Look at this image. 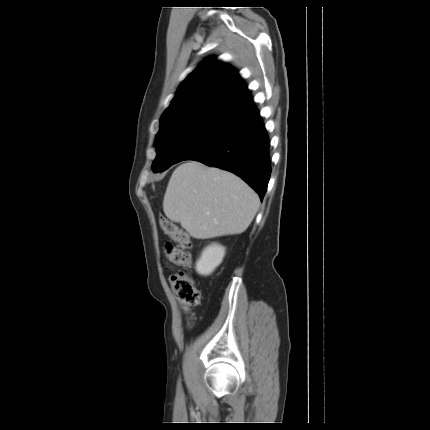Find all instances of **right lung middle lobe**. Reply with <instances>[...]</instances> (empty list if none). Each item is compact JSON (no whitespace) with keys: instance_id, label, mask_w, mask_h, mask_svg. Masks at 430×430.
Instances as JSON below:
<instances>
[{"instance_id":"right-lung-middle-lobe-1","label":"right lung middle lobe","mask_w":430,"mask_h":430,"mask_svg":"<svg viewBox=\"0 0 430 430\" xmlns=\"http://www.w3.org/2000/svg\"><path fill=\"white\" fill-rule=\"evenodd\" d=\"M239 117L221 100L203 102L162 116L155 143L157 157L152 170L162 172L186 160L229 129Z\"/></svg>"}]
</instances>
